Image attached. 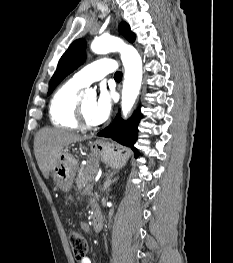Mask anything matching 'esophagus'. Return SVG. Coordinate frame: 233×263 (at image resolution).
<instances>
[{
	"label": "esophagus",
	"mask_w": 233,
	"mask_h": 263,
	"mask_svg": "<svg viewBox=\"0 0 233 263\" xmlns=\"http://www.w3.org/2000/svg\"><path fill=\"white\" fill-rule=\"evenodd\" d=\"M114 9H115L117 17L119 18V12L116 10L115 6H114Z\"/></svg>",
	"instance_id": "1"
}]
</instances>
